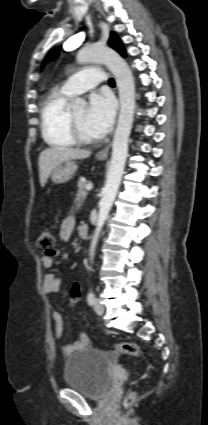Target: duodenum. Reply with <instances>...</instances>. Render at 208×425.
Listing matches in <instances>:
<instances>
[{
    "instance_id": "410a0bca",
    "label": "duodenum",
    "mask_w": 208,
    "mask_h": 425,
    "mask_svg": "<svg viewBox=\"0 0 208 425\" xmlns=\"http://www.w3.org/2000/svg\"><path fill=\"white\" fill-rule=\"evenodd\" d=\"M79 234L82 239H87L89 234L88 227L86 225H81L79 227Z\"/></svg>"
}]
</instances>
